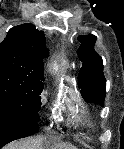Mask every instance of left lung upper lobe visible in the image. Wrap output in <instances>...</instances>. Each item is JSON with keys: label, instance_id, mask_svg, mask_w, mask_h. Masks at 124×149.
Masks as SVG:
<instances>
[{"label": "left lung upper lobe", "instance_id": "1", "mask_svg": "<svg viewBox=\"0 0 124 149\" xmlns=\"http://www.w3.org/2000/svg\"><path fill=\"white\" fill-rule=\"evenodd\" d=\"M81 43L78 56L83 66L80 69L78 85L83 98L89 103L103 106L106 94V80L103 75L102 58L95 52L96 36H79Z\"/></svg>", "mask_w": 124, "mask_h": 149}]
</instances>
